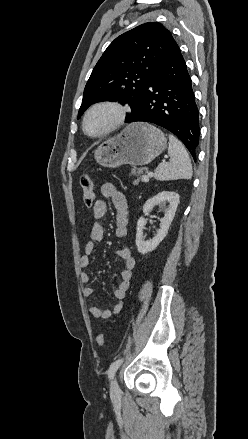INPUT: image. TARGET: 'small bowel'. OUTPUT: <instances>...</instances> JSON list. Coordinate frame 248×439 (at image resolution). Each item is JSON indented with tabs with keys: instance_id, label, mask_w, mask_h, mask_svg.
<instances>
[{
	"instance_id": "small-bowel-1",
	"label": "small bowel",
	"mask_w": 248,
	"mask_h": 439,
	"mask_svg": "<svg viewBox=\"0 0 248 439\" xmlns=\"http://www.w3.org/2000/svg\"><path fill=\"white\" fill-rule=\"evenodd\" d=\"M101 194L112 201L116 210V237L119 239L125 238L128 234L127 199L125 195L112 183L103 184L101 187ZM106 212V202L101 199L96 200L93 206L95 222L90 232V239L85 245L84 255L80 258L79 262L82 269H85L90 265V256L95 252L96 245L104 238L105 229L100 221L105 216ZM116 255L124 263V268L120 272V281L114 289V296L118 302L114 305L112 310L90 306L88 309L89 313L96 319H108L112 315L120 313L123 309V299L130 287L132 273L136 265L135 259L133 258L130 249L127 247L119 248L116 251ZM90 279V275L87 272H81L80 281L83 284H88ZM93 292V288L89 285H86L82 290L84 297H91Z\"/></svg>"
}]
</instances>
